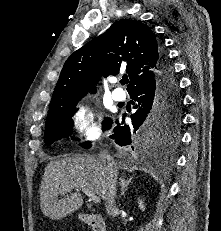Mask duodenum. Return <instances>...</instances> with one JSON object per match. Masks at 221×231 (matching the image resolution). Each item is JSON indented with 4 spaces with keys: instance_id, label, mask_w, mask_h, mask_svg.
I'll return each instance as SVG.
<instances>
[{
    "instance_id": "obj_1",
    "label": "duodenum",
    "mask_w": 221,
    "mask_h": 231,
    "mask_svg": "<svg viewBox=\"0 0 221 231\" xmlns=\"http://www.w3.org/2000/svg\"><path fill=\"white\" fill-rule=\"evenodd\" d=\"M79 219L91 226L93 231H106L105 221L101 215L81 213Z\"/></svg>"
}]
</instances>
